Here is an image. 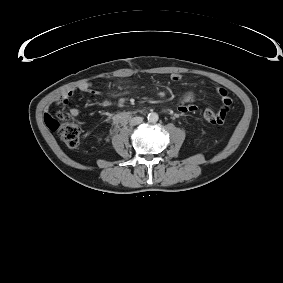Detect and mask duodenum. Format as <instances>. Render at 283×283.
<instances>
[{
	"label": "duodenum",
	"instance_id": "410a0bca",
	"mask_svg": "<svg viewBox=\"0 0 283 283\" xmlns=\"http://www.w3.org/2000/svg\"><path fill=\"white\" fill-rule=\"evenodd\" d=\"M134 116L131 112H124L118 116V121L120 125H124L128 120H130Z\"/></svg>",
	"mask_w": 283,
	"mask_h": 283
}]
</instances>
